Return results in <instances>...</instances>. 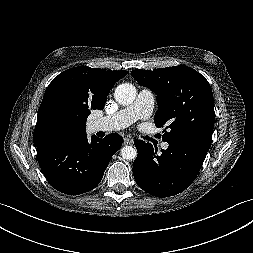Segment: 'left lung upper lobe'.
<instances>
[{
	"instance_id": "left-lung-upper-lobe-1",
	"label": "left lung upper lobe",
	"mask_w": 253,
	"mask_h": 253,
	"mask_svg": "<svg viewBox=\"0 0 253 253\" xmlns=\"http://www.w3.org/2000/svg\"><path fill=\"white\" fill-rule=\"evenodd\" d=\"M131 74L141 86L150 88L157 95L158 110L154 121L158 128L166 125L168 129L162 131L163 141L212 140L213 94L208 81L199 72L178 65L153 71L136 69Z\"/></svg>"
}]
</instances>
